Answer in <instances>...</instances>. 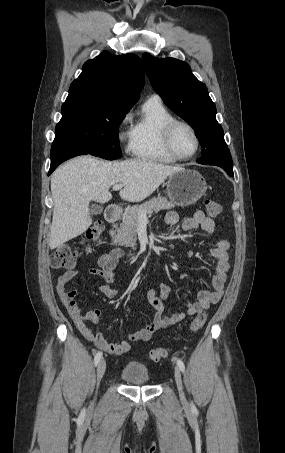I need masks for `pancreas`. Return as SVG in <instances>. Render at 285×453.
I'll list each match as a JSON object with an SVG mask.
<instances>
[{
    "mask_svg": "<svg viewBox=\"0 0 285 453\" xmlns=\"http://www.w3.org/2000/svg\"><path fill=\"white\" fill-rule=\"evenodd\" d=\"M174 208V204L171 201H168L165 197L158 196L157 198H152L149 201L144 202L140 206H133L125 210L120 223L114 225L115 231L111 232L113 240L121 246L131 247L136 249V240H137V228L140 220V212L147 214H152L153 212H158L160 210H169Z\"/></svg>",
    "mask_w": 285,
    "mask_h": 453,
    "instance_id": "pancreas-1",
    "label": "pancreas"
}]
</instances>
